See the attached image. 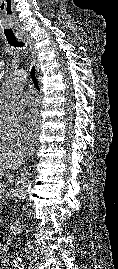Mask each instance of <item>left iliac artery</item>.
Wrapping results in <instances>:
<instances>
[{
    "label": "left iliac artery",
    "instance_id": "obj_1",
    "mask_svg": "<svg viewBox=\"0 0 118 269\" xmlns=\"http://www.w3.org/2000/svg\"><path fill=\"white\" fill-rule=\"evenodd\" d=\"M14 265L18 269H24V263L20 257H15Z\"/></svg>",
    "mask_w": 118,
    "mask_h": 269
}]
</instances>
